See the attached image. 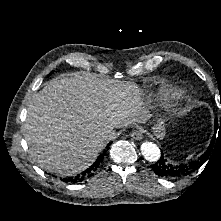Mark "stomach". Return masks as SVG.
Here are the masks:
<instances>
[{
	"mask_svg": "<svg viewBox=\"0 0 221 221\" xmlns=\"http://www.w3.org/2000/svg\"><path fill=\"white\" fill-rule=\"evenodd\" d=\"M153 133L160 139L165 136V120L163 118H158L152 126Z\"/></svg>",
	"mask_w": 221,
	"mask_h": 221,
	"instance_id": "stomach-1",
	"label": "stomach"
}]
</instances>
